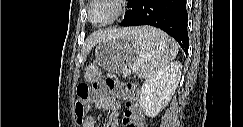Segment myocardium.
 <instances>
[{
  "instance_id": "1",
  "label": "myocardium",
  "mask_w": 243,
  "mask_h": 127,
  "mask_svg": "<svg viewBox=\"0 0 243 127\" xmlns=\"http://www.w3.org/2000/svg\"><path fill=\"white\" fill-rule=\"evenodd\" d=\"M97 3H104L112 7L113 9V14L102 22H94L92 21L90 16L92 7ZM125 3H126L125 0H91L87 7V20L91 25L95 27L108 26L114 23L115 21H117L125 13V7H126Z\"/></svg>"
}]
</instances>
